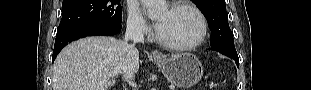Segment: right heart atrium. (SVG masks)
<instances>
[{"mask_svg":"<svg viewBox=\"0 0 311 90\" xmlns=\"http://www.w3.org/2000/svg\"><path fill=\"white\" fill-rule=\"evenodd\" d=\"M127 27L130 32L140 35H146L150 32L149 25L139 6L135 3H131L128 7Z\"/></svg>","mask_w":311,"mask_h":90,"instance_id":"obj_1","label":"right heart atrium"}]
</instances>
